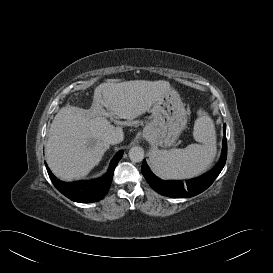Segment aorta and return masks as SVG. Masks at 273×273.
I'll use <instances>...</instances> for the list:
<instances>
[{
  "label": "aorta",
  "instance_id": "1",
  "mask_svg": "<svg viewBox=\"0 0 273 273\" xmlns=\"http://www.w3.org/2000/svg\"><path fill=\"white\" fill-rule=\"evenodd\" d=\"M144 149L140 146H134L129 150V158L132 162H141L144 159Z\"/></svg>",
  "mask_w": 273,
  "mask_h": 273
}]
</instances>
